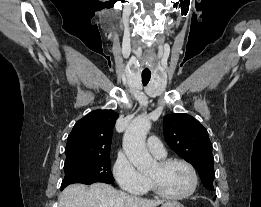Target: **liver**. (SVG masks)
Listing matches in <instances>:
<instances>
[{
    "mask_svg": "<svg viewBox=\"0 0 261 207\" xmlns=\"http://www.w3.org/2000/svg\"><path fill=\"white\" fill-rule=\"evenodd\" d=\"M163 202L130 196L105 183H95L89 188L71 184L63 190L58 207H157Z\"/></svg>",
    "mask_w": 261,
    "mask_h": 207,
    "instance_id": "liver-1",
    "label": "liver"
}]
</instances>
